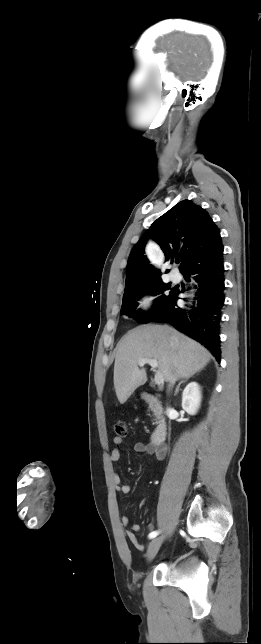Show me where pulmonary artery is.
<instances>
[{
  "mask_svg": "<svg viewBox=\"0 0 261 644\" xmlns=\"http://www.w3.org/2000/svg\"><path fill=\"white\" fill-rule=\"evenodd\" d=\"M170 278H171V280H172V281L177 282V281H179L180 276H179V274H178V273H176V272H171V273H170Z\"/></svg>",
  "mask_w": 261,
  "mask_h": 644,
  "instance_id": "pulmonary-artery-1",
  "label": "pulmonary artery"
}]
</instances>
